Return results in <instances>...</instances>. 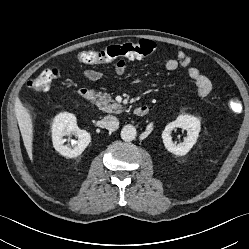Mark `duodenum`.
Masks as SVG:
<instances>
[{"label":"duodenum","mask_w":249,"mask_h":249,"mask_svg":"<svg viewBox=\"0 0 249 249\" xmlns=\"http://www.w3.org/2000/svg\"><path fill=\"white\" fill-rule=\"evenodd\" d=\"M79 95L82 99L86 101H92L95 98V93L92 89L87 87H82L79 89ZM149 111V107L147 105H139L135 108V115L138 117L145 116Z\"/></svg>","instance_id":"duodenum-1"}]
</instances>
